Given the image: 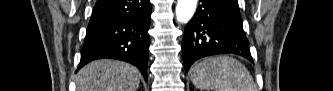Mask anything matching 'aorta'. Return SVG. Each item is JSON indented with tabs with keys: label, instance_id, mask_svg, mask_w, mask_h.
<instances>
[{
	"label": "aorta",
	"instance_id": "obj_1",
	"mask_svg": "<svg viewBox=\"0 0 333 91\" xmlns=\"http://www.w3.org/2000/svg\"><path fill=\"white\" fill-rule=\"evenodd\" d=\"M197 6V0H178L176 6V18L178 22H188Z\"/></svg>",
	"mask_w": 333,
	"mask_h": 91
}]
</instances>
